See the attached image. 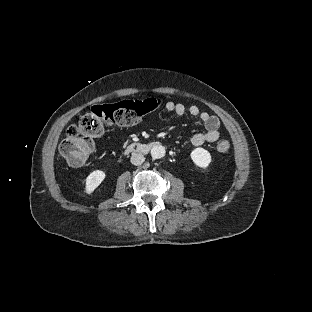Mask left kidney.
Returning a JSON list of instances; mask_svg holds the SVG:
<instances>
[{
	"label": "left kidney",
	"instance_id": "obj_1",
	"mask_svg": "<svg viewBox=\"0 0 312 312\" xmlns=\"http://www.w3.org/2000/svg\"><path fill=\"white\" fill-rule=\"evenodd\" d=\"M193 164L202 171H206L211 166V153L203 147H197L190 153Z\"/></svg>",
	"mask_w": 312,
	"mask_h": 312
}]
</instances>
